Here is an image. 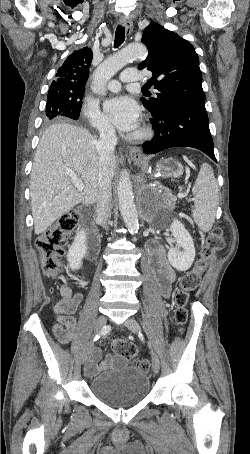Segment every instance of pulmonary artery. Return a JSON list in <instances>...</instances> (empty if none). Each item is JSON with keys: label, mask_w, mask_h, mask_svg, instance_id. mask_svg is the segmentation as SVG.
Listing matches in <instances>:
<instances>
[{"label": "pulmonary artery", "mask_w": 250, "mask_h": 454, "mask_svg": "<svg viewBox=\"0 0 250 454\" xmlns=\"http://www.w3.org/2000/svg\"><path fill=\"white\" fill-rule=\"evenodd\" d=\"M135 81L143 82L144 78L139 74V72L134 69H126L120 76V80H111L107 84V88L110 91L116 92L120 90L123 83H131Z\"/></svg>", "instance_id": "1"}]
</instances>
